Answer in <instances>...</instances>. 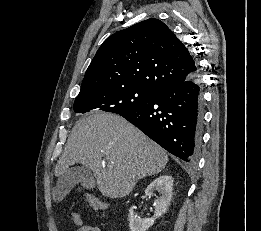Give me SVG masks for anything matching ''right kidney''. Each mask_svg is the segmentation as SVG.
Here are the masks:
<instances>
[{
  "label": "right kidney",
  "instance_id": "obj_1",
  "mask_svg": "<svg viewBox=\"0 0 261 231\" xmlns=\"http://www.w3.org/2000/svg\"><path fill=\"white\" fill-rule=\"evenodd\" d=\"M173 182L174 179L172 176L163 175L156 178L147 186L145 190L146 196H153L156 190L160 193V196L154 201V216L146 219L137 218L134 215V207H131L128 215L129 228L131 231L148 230L154 224L155 220L166 212L172 198Z\"/></svg>",
  "mask_w": 261,
  "mask_h": 231
}]
</instances>
